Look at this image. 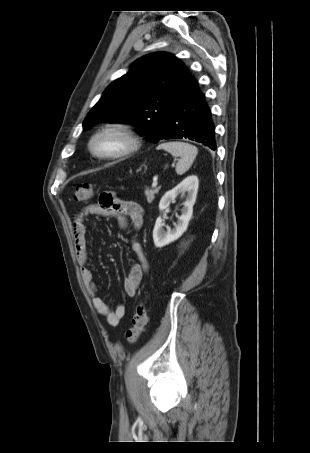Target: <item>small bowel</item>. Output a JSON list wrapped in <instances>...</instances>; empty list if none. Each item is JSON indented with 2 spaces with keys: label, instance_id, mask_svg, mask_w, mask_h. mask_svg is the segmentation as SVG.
Returning a JSON list of instances; mask_svg holds the SVG:
<instances>
[{
  "label": "small bowel",
  "instance_id": "1",
  "mask_svg": "<svg viewBox=\"0 0 310 453\" xmlns=\"http://www.w3.org/2000/svg\"><path fill=\"white\" fill-rule=\"evenodd\" d=\"M90 215H104L117 217L121 226L126 227L128 222L136 229L140 228L144 222L143 208L132 201L121 200L114 198L113 203L104 208L101 203L88 205L81 209L76 215L73 224V236L76 256L81 265V277L88 294L92 298V304L97 313L104 316L105 322L109 326H116L124 317L126 308L124 304H118L111 309L105 301L98 296V288L94 281L92 271L85 265L88 261V249L86 241V219ZM130 245L133 252L137 255L139 262L131 266L127 277L124 280V290L128 296H135L139 285L148 270V263L137 239L132 238Z\"/></svg>",
  "mask_w": 310,
  "mask_h": 453
}]
</instances>
